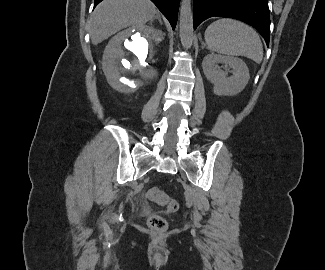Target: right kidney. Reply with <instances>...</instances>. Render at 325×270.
I'll use <instances>...</instances> for the list:
<instances>
[{
    "label": "right kidney",
    "instance_id": "1",
    "mask_svg": "<svg viewBox=\"0 0 325 270\" xmlns=\"http://www.w3.org/2000/svg\"><path fill=\"white\" fill-rule=\"evenodd\" d=\"M163 36L160 30L149 26H132L115 35L102 59L108 83L122 93H133L147 84L156 75V45ZM123 42L127 51L123 50Z\"/></svg>",
    "mask_w": 325,
    "mask_h": 270
}]
</instances>
